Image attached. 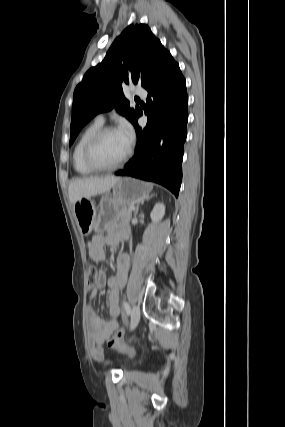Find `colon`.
<instances>
[{"instance_id": "5ec220e1", "label": "colon", "mask_w": 285, "mask_h": 427, "mask_svg": "<svg viewBox=\"0 0 285 427\" xmlns=\"http://www.w3.org/2000/svg\"><path fill=\"white\" fill-rule=\"evenodd\" d=\"M97 281V271L93 266L88 267V277H87V285L89 287H94ZM109 345L111 348L119 351V352H130L129 346L124 341V335L121 330L117 331L113 338L110 340Z\"/></svg>"}]
</instances>
